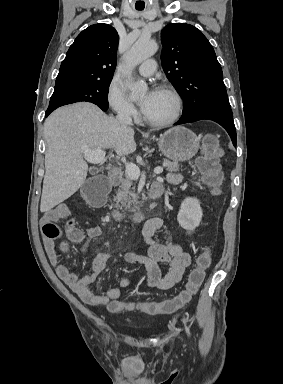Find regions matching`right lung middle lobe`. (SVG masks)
<instances>
[{"instance_id":"right-lung-middle-lobe-1","label":"right lung middle lobe","mask_w":283,"mask_h":384,"mask_svg":"<svg viewBox=\"0 0 283 384\" xmlns=\"http://www.w3.org/2000/svg\"><path fill=\"white\" fill-rule=\"evenodd\" d=\"M111 80L78 82L55 86L48 108L56 109L60 106L80 101L92 102L100 108H108L107 95Z\"/></svg>"}]
</instances>
